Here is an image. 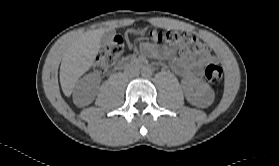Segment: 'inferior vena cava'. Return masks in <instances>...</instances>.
I'll return each instance as SVG.
<instances>
[{
    "mask_svg": "<svg viewBox=\"0 0 279 166\" xmlns=\"http://www.w3.org/2000/svg\"><path fill=\"white\" fill-rule=\"evenodd\" d=\"M127 73L130 77H135L139 74V71L137 69H135V70H132V71L127 72Z\"/></svg>",
    "mask_w": 279,
    "mask_h": 166,
    "instance_id": "obj_1",
    "label": "inferior vena cava"
}]
</instances>
